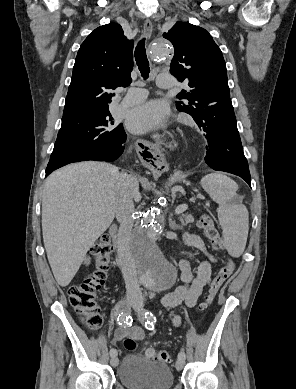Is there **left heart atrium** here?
<instances>
[{"label": "left heart atrium", "instance_id": "1", "mask_svg": "<svg viewBox=\"0 0 296 389\" xmlns=\"http://www.w3.org/2000/svg\"><path fill=\"white\" fill-rule=\"evenodd\" d=\"M169 115L166 103L151 100L131 109L127 116L128 129L137 134L145 133L161 126Z\"/></svg>", "mask_w": 296, "mask_h": 389}]
</instances>
